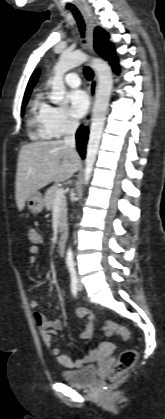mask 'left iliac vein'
Wrapping results in <instances>:
<instances>
[{"mask_svg":"<svg viewBox=\"0 0 165 419\" xmlns=\"http://www.w3.org/2000/svg\"><path fill=\"white\" fill-rule=\"evenodd\" d=\"M77 281H78V285H77L78 290H82V283H81L80 279L78 278Z\"/></svg>","mask_w":165,"mask_h":419,"instance_id":"4c4485c4","label":"left iliac vein"}]
</instances>
